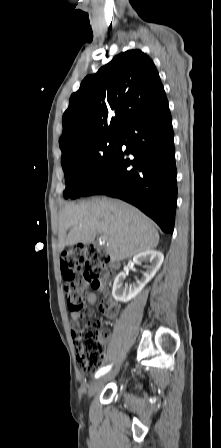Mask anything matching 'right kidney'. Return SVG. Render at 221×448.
Wrapping results in <instances>:
<instances>
[{"label":"right kidney","instance_id":"obj_1","mask_svg":"<svg viewBox=\"0 0 221 448\" xmlns=\"http://www.w3.org/2000/svg\"><path fill=\"white\" fill-rule=\"evenodd\" d=\"M164 260V255L160 251L149 250L145 252L138 253L133 257V262L140 265L143 262H150V266H147V270L143 273L141 279H138L135 284L128 287L123 282L126 278L125 272H120L113 284L112 295L115 300L127 303L134 297H136L144 286L155 276L156 272L159 270Z\"/></svg>","mask_w":221,"mask_h":448}]
</instances>
